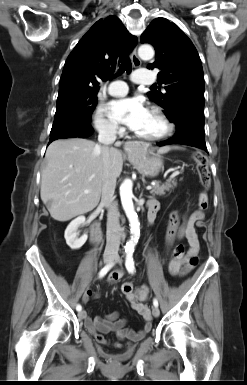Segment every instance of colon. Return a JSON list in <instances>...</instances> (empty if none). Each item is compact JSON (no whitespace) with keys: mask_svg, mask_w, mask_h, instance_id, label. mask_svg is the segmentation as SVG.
Instances as JSON below:
<instances>
[{"mask_svg":"<svg viewBox=\"0 0 247 385\" xmlns=\"http://www.w3.org/2000/svg\"><path fill=\"white\" fill-rule=\"evenodd\" d=\"M196 164H197V171L199 174L200 182L203 187V190L199 194V208L201 210H206L208 208L209 204V198L207 194V190L210 187L211 184V177H210V171L208 166V160L207 157L203 154H196L194 156ZM173 260L179 261L184 257V247L182 244H176L173 249ZM197 262L196 258H192L190 260L191 264H194ZM122 292L123 294H128L131 292V288L129 285H122Z\"/></svg>","mask_w":247,"mask_h":385,"instance_id":"5ec220e1","label":"colon"}]
</instances>
